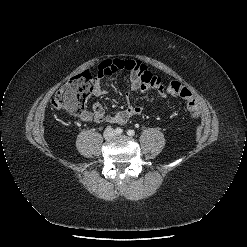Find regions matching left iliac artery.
<instances>
[{"mask_svg": "<svg viewBox=\"0 0 247 247\" xmlns=\"http://www.w3.org/2000/svg\"><path fill=\"white\" fill-rule=\"evenodd\" d=\"M127 135L128 136H134L135 135V131L130 129V130L127 131Z\"/></svg>", "mask_w": 247, "mask_h": 247, "instance_id": "left-iliac-artery-1", "label": "left iliac artery"}]
</instances>
